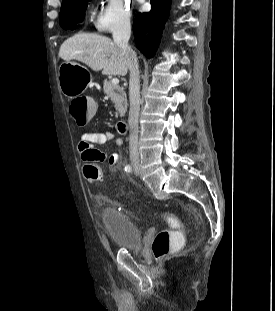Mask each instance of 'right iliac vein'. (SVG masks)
<instances>
[{
	"mask_svg": "<svg viewBox=\"0 0 275 311\" xmlns=\"http://www.w3.org/2000/svg\"><path fill=\"white\" fill-rule=\"evenodd\" d=\"M132 163H133L134 165H138L139 159H133Z\"/></svg>",
	"mask_w": 275,
	"mask_h": 311,
	"instance_id": "right-iliac-vein-1",
	"label": "right iliac vein"
}]
</instances>
